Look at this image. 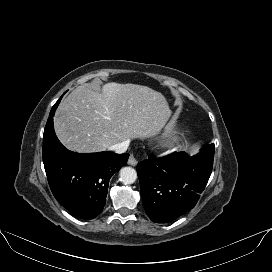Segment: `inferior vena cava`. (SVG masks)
Returning a JSON list of instances; mask_svg holds the SVG:
<instances>
[{"label":"inferior vena cava","instance_id":"1","mask_svg":"<svg viewBox=\"0 0 272 272\" xmlns=\"http://www.w3.org/2000/svg\"><path fill=\"white\" fill-rule=\"evenodd\" d=\"M128 146L129 141H122L109 146V150L114 151L115 153H124L127 150Z\"/></svg>","mask_w":272,"mask_h":272}]
</instances>
